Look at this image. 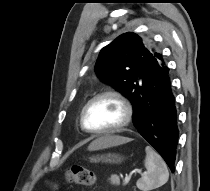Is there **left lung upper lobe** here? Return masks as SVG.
Returning <instances> with one entry per match:
<instances>
[{
    "instance_id": "1",
    "label": "left lung upper lobe",
    "mask_w": 210,
    "mask_h": 191,
    "mask_svg": "<svg viewBox=\"0 0 210 191\" xmlns=\"http://www.w3.org/2000/svg\"><path fill=\"white\" fill-rule=\"evenodd\" d=\"M164 65L162 55L148 42L127 32L102 48L95 71L102 81L131 101L134 119L142 96L155 86L157 70Z\"/></svg>"
}]
</instances>
